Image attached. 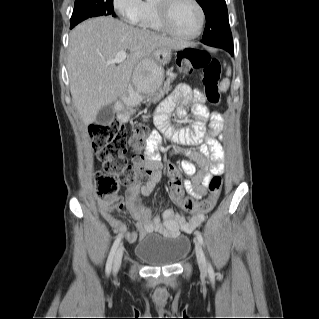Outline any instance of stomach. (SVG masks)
<instances>
[{"label":"stomach","mask_w":319,"mask_h":319,"mask_svg":"<svg viewBox=\"0 0 319 319\" xmlns=\"http://www.w3.org/2000/svg\"><path fill=\"white\" fill-rule=\"evenodd\" d=\"M170 59L171 49L161 47L136 66L132 81L140 95H151L159 89L163 81V66Z\"/></svg>","instance_id":"stomach-1"}]
</instances>
